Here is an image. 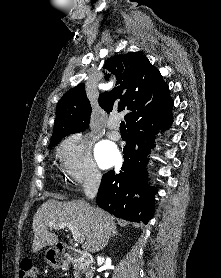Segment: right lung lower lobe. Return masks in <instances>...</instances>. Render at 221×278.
Listing matches in <instances>:
<instances>
[{
  "instance_id": "98d812e1",
  "label": "right lung lower lobe",
  "mask_w": 221,
  "mask_h": 278,
  "mask_svg": "<svg viewBox=\"0 0 221 278\" xmlns=\"http://www.w3.org/2000/svg\"><path fill=\"white\" fill-rule=\"evenodd\" d=\"M173 104L162 112L139 121L128 128L123 148L124 163L116 174H104L97 194V205L118 218L147 224L153 217L155 187H147V156L154 148L155 133L172 124ZM140 191V197H134Z\"/></svg>"
}]
</instances>
